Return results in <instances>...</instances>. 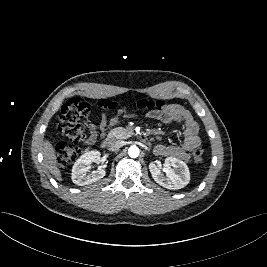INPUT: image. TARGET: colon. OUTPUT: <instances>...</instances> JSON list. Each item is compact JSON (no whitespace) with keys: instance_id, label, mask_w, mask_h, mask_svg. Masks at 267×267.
Instances as JSON below:
<instances>
[{"instance_id":"obj_1","label":"colon","mask_w":267,"mask_h":267,"mask_svg":"<svg viewBox=\"0 0 267 267\" xmlns=\"http://www.w3.org/2000/svg\"><path fill=\"white\" fill-rule=\"evenodd\" d=\"M96 105L107 111H113L118 108H125L123 104H118L107 99L99 100ZM161 100H139L132 104L134 109L154 110L165 106ZM91 106L81 98L69 99L61 108L59 114V131L67 139V142H60L56 146L57 161L60 166H67L74 162L82 153L81 143L87 140V116ZM204 147L202 145L194 148L192 159L196 163L203 161Z\"/></svg>"}]
</instances>
